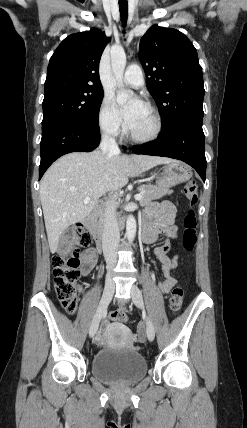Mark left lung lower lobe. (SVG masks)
<instances>
[{"instance_id":"1","label":"left lung lower lobe","mask_w":247,"mask_h":428,"mask_svg":"<svg viewBox=\"0 0 247 428\" xmlns=\"http://www.w3.org/2000/svg\"><path fill=\"white\" fill-rule=\"evenodd\" d=\"M202 120L201 116L177 117L173 122L164 125L159 140L134 146L133 152L182 160L192 166L205 182V136Z\"/></svg>"}]
</instances>
